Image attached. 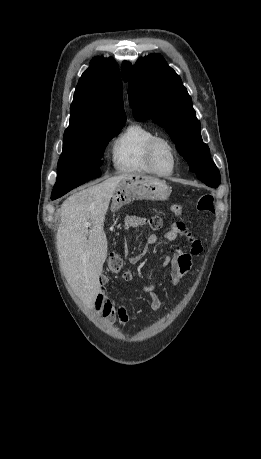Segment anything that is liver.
I'll return each mask as SVG.
<instances>
[{
    "label": "liver",
    "mask_w": 261,
    "mask_h": 459,
    "mask_svg": "<svg viewBox=\"0 0 261 459\" xmlns=\"http://www.w3.org/2000/svg\"><path fill=\"white\" fill-rule=\"evenodd\" d=\"M114 176L69 196L60 209L57 250L61 268L72 289L88 307L100 292L99 277L107 257L105 215L119 183ZM91 223L90 230L85 223Z\"/></svg>",
    "instance_id": "obj_1"
}]
</instances>
